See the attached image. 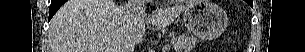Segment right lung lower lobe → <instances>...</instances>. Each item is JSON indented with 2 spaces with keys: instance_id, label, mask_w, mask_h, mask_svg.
<instances>
[{
  "instance_id": "right-lung-lower-lobe-1",
  "label": "right lung lower lobe",
  "mask_w": 305,
  "mask_h": 52,
  "mask_svg": "<svg viewBox=\"0 0 305 52\" xmlns=\"http://www.w3.org/2000/svg\"><path fill=\"white\" fill-rule=\"evenodd\" d=\"M65 0H52L49 10V21L56 13V11L65 3Z\"/></svg>"
}]
</instances>
